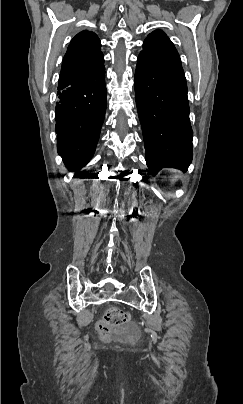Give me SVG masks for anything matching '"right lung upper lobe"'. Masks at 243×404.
<instances>
[{"mask_svg": "<svg viewBox=\"0 0 243 404\" xmlns=\"http://www.w3.org/2000/svg\"><path fill=\"white\" fill-rule=\"evenodd\" d=\"M103 63L104 58L97 35L91 31L78 33L70 42L63 58L58 90L65 88L75 80L92 74Z\"/></svg>", "mask_w": 243, "mask_h": 404, "instance_id": "cb5924a9", "label": "right lung upper lobe"}]
</instances>
